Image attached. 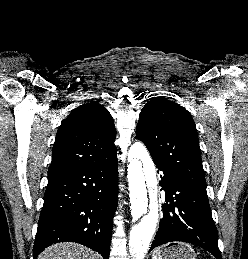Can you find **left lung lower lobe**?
<instances>
[{"label":"left lung lower lobe","instance_id":"0a47b994","mask_svg":"<svg viewBox=\"0 0 248 259\" xmlns=\"http://www.w3.org/2000/svg\"><path fill=\"white\" fill-rule=\"evenodd\" d=\"M155 164L163 172L159 185L165 191L166 203L150 251L168 242L182 241L200 246L222 259L206 190L188 185L166 167Z\"/></svg>","mask_w":248,"mask_h":259}]
</instances>
